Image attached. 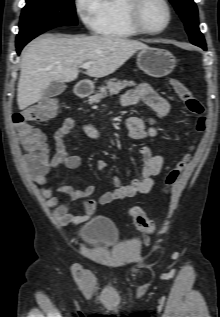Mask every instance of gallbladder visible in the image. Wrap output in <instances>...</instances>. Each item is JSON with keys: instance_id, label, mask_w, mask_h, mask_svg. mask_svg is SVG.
I'll return each instance as SVG.
<instances>
[{"instance_id": "gallbladder-1", "label": "gallbladder", "mask_w": 220, "mask_h": 317, "mask_svg": "<svg viewBox=\"0 0 220 317\" xmlns=\"http://www.w3.org/2000/svg\"><path fill=\"white\" fill-rule=\"evenodd\" d=\"M66 89V85L60 81H53L44 91L43 98H51L62 94Z\"/></svg>"}]
</instances>
